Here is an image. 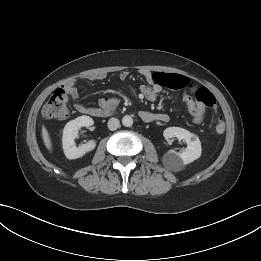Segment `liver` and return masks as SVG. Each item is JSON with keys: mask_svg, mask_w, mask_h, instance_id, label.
Here are the masks:
<instances>
[{"mask_svg": "<svg viewBox=\"0 0 261 261\" xmlns=\"http://www.w3.org/2000/svg\"><path fill=\"white\" fill-rule=\"evenodd\" d=\"M42 138H43L46 148L49 151H52L51 139H50L49 133H48L47 129L45 128V126H42Z\"/></svg>", "mask_w": 261, "mask_h": 261, "instance_id": "6515ba94", "label": "liver"}]
</instances>
